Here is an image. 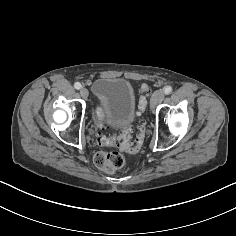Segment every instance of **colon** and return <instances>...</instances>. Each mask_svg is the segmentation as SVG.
<instances>
[{
    "label": "colon",
    "instance_id": "5ec220e1",
    "mask_svg": "<svg viewBox=\"0 0 236 236\" xmlns=\"http://www.w3.org/2000/svg\"><path fill=\"white\" fill-rule=\"evenodd\" d=\"M140 91L142 95L138 102V109L139 113L143 114L147 105V95L150 92L149 86L142 84ZM97 127V143L101 146H125L130 151H137L142 147L146 137V124L144 122H142L139 127V133L134 144H130L128 142L130 136L128 129L125 131L124 136H104L100 133V130L104 127L101 120L98 122ZM125 162V156L117 151H101L94 156L95 165L107 172H113L121 169L125 165Z\"/></svg>",
    "mask_w": 236,
    "mask_h": 236
}]
</instances>
